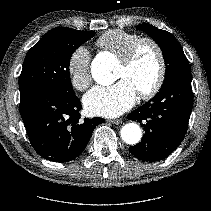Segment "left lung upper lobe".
Masks as SVG:
<instances>
[{
    "mask_svg": "<svg viewBox=\"0 0 211 211\" xmlns=\"http://www.w3.org/2000/svg\"><path fill=\"white\" fill-rule=\"evenodd\" d=\"M137 29L148 34L160 46L166 66L164 82L179 73L191 72L181 45L171 33L145 23L138 25Z\"/></svg>",
    "mask_w": 211,
    "mask_h": 211,
    "instance_id": "obj_1",
    "label": "left lung upper lobe"
}]
</instances>
